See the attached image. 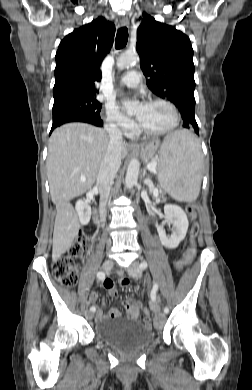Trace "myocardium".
Segmentation results:
<instances>
[{"mask_svg": "<svg viewBox=\"0 0 252 390\" xmlns=\"http://www.w3.org/2000/svg\"><path fill=\"white\" fill-rule=\"evenodd\" d=\"M154 103H163V104L167 105L171 109V111L173 113V116H174L172 124L168 128L163 129V130H149V129H146L145 127H143L137 121V123H136L137 130L141 134H144V135H147V136H164V135H167V134L171 133L172 131H174L179 126L180 114H179L178 108L170 100L165 99V98H160V97L151 98V99H148L147 101L144 102L145 105H150V104H154Z\"/></svg>", "mask_w": 252, "mask_h": 390, "instance_id": "1", "label": "myocardium"}]
</instances>
